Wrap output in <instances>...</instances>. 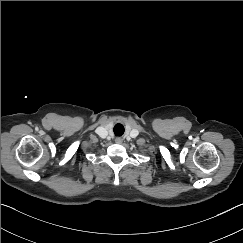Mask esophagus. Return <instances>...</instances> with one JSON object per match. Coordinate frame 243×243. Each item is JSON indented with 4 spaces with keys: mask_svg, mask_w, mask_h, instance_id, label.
<instances>
[{
    "mask_svg": "<svg viewBox=\"0 0 243 243\" xmlns=\"http://www.w3.org/2000/svg\"><path fill=\"white\" fill-rule=\"evenodd\" d=\"M116 142H117V143H121V138H117V139H116Z\"/></svg>",
    "mask_w": 243,
    "mask_h": 243,
    "instance_id": "esophagus-1",
    "label": "esophagus"
}]
</instances>
